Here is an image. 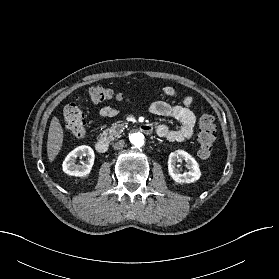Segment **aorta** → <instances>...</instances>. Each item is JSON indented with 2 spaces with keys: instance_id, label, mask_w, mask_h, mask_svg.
I'll use <instances>...</instances> for the list:
<instances>
[{
  "instance_id": "1",
  "label": "aorta",
  "mask_w": 279,
  "mask_h": 279,
  "mask_svg": "<svg viewBox=\"0 0 279 279\" xmlns=\"http://www.w3.org/2000/svg\"><path fill=\"white\" fill-rule=\"evenodd\" d=\"M130 141L135 147H141L144 144V135L140 132H133L130 135Z\"/></svg>"
}]
</instances>
